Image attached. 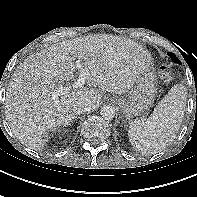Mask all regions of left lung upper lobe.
Listing matches in <instances>:
<instances>
[{
    "label": "left lung upper lobe",
    "mask_w": 197,
    "mask_h": 197,
    "mask_svg": "<svg viewBox=\"0 0 197 197\" xmlns=\"http://www.w3.org/2000/svg\"><path fill=\"white\" fill-rule=\"evenodd\" d=\"M169 56L171 57L172 62L180 63L179 59L172 53H169Z\"/></svg>",
    "instance_id": "obj_1"
}]
</instances>
